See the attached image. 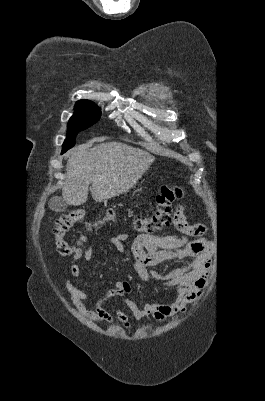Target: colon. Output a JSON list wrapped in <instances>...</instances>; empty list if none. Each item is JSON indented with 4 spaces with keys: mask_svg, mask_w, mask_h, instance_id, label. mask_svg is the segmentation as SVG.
Segmentation results:
<instances>
[{
    "mask_svg": "<svg viewBox=\"0 0 265 401\" xmlns=\"http://www.w3.org/2000/svg\"><path fill=\"white\" fill-rule=\"evenodd\" d=\"M182 189L178 186H163L157 197V207L154 213L138 217L133 222V228L143 234H150L156 230H159L171 222V205L172 202L182 196ZM85 215L84 210L75 209L69 213L62 214L55 222L53 234L55 237L56 249L62 256H70L73 254L76 246L69 245L65 240V235L71 229V227L78 221L82 220ZM114 217V213L110 211L103 218L105 220H111ZM98 223H90L89 228L96 227ZM82 240V238H81Z\"/></svg>",
    "mask_w": 265,
    "mask_h": 401,
    "instance_id": "obj_1",
    "label": "colon"
}]
</instances>
